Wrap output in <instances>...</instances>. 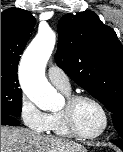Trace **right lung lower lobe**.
Returning <instances> with one entry per match:
<instances>
[{
    "label": "right lung lower lobe",
    "instance_id": "obj_1",
    "mask_svg": "<svg viewBox=\"0 0 123 152\" xmlns=\"http://www.w3.org/2000/svg\"><path fill=\"white\" fill-rule=\"evenodd\" d=\"M19 124V121L16 120L13 116L1 115V125H13L16 126Z\"/></svg>",
    "mask_w": 123,
    "mask_h": 152
}]
</instances>
